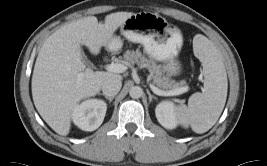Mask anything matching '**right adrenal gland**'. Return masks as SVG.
<instances>
[{
	"instance_id": "right-adrenal-gland-1",
	"label": "right adrenal gland",
	"mask_w": 267,
	"mask_h": 166,
	"mask_svg": "<svg viewBox=\"0 0 267 166\" xmlns=\"http://www.w3.org/2000/svg\"><path fill=\"white\" fill-rule=\"evenodd\" d=\"M101 93H99V95H100ZM101 95H103L108 101H109V103H111L112 102V100L114 99V97L115 96H106V95H104V94H101Z\"/></svg>"
}]
</instances>
